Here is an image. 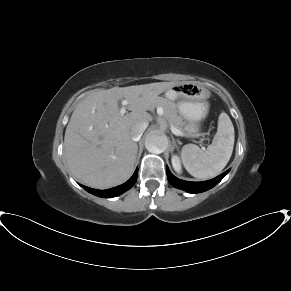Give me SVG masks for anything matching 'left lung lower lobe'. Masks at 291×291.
Segmentation results:
<instances>
[{"label": "left lung lower lobe", "instance_id": "1", "mask_svg": "<svg viewBox=\"0 0 291 291\" xmlns=\"http://www.w3.org/2000/svg\"><path fill=\"white\" fill-rule=\"evenodd\" d=\"M166 172H167V178H168L169 183L173 185L174 187L185 190L189 193H200L214 187L217 183H219L223 179V177L229 171L224 172L223 174L217 176L214 179L204 181V182H189V181L180 180L171 174L168 167L166 168Z\"/></svg>", "mask_w": 291, "mask_h": 291}]
</instances>
